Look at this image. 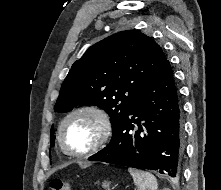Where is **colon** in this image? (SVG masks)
I'll return each instance as SVG.
<instances>
[{"instance_id":"5ec220e1","label":"colon","mask_w":221,"mask_h":190,"mask_svg":"<svg viewBox=\"0 0 221 190\" xmlns=\"http://www.w3.org/2000/svg\"><path fill=\"white\" fill-rule=\"evenodd\" d=\"M49 190H72L69 184L61 179H53L50 182Z\"/></svg>"}]
</instances>
